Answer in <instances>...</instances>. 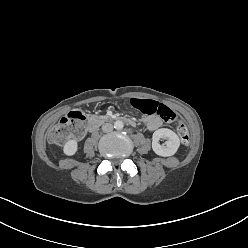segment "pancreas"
<instances>
[{"label": "pancreas", "mask_w": 248, "mask_h": 248, "mask_svg": "<svg viewBox=\"0 0 248 248\" xmlns=\"http://www.w3.org/2000/svg\"><path fill=\"white\" fill-rule=\"evenodd\" d=\"M97 118H98L99 120H101V121H105V120L108 119V116H106V115H104V116H98Z\"/></svg>", "instance_id": "cf45deb5"}]
</instances>
